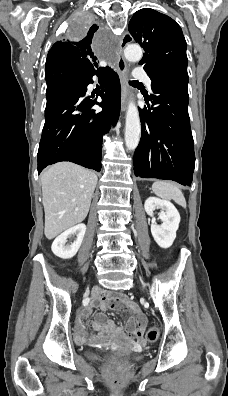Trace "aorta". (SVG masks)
<instances>
[{
  "mask_svg": "<svg viewBox=\"0 0 228 396\" xmlns=\"http://www.w3.org/2000/svg\"><path fill=\"white\" fill-rule=\"evenodd\" d=\"M124 55L128 61H139L142 58V49L137 45H128L124 50ZM141 124L139 111L134 101H130L126 113L125 124V144L127 149L134 150L140 140Z\"/></svg>",
  "mask_w": 228,
  "mask_h": 396,
  "instance_id": "obj_1",
  "label": "aorta"
}]
</instances>
